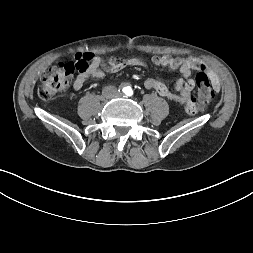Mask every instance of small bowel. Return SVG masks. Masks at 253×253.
Returning a JSON list of instances; mask_svg holds the SVG:
<instances>
[{
  "instance_id": "obj_1",
  "label": "small bowel",
  "mask_w": 253,
  "mask_h": 253,
  "mask_svg": "<svg viewBox=\"0 0 253 253\" xmlns=\"http://www.w3.org/2000/svg\"><path fill=\"white\" fill-rule=\"evenodd\" d=\"M78 56L79 55H77V57ZM152 62L157 66L179 70L181 76L176 80L174 85L176 92H172L168 86L158 78H148L144 82L145 88L156 92L163 98L184 103L186 115H196V113L201 110L202 103L198 99V95L192 92L195 88V83L193 80L189 79V77L192 70L203 69L201 63L195 58H174L167 55L154 56ZM137 66L145 67L146 63L139 57H129L126 59L111 58L109 61L105 62L100 56L93 55L88 70L76 77L73 88L75 90H81L89 78L101 79L105 76L106 72L116 73L125 67ZM214 88H219V84L216 80L214 81Z\"/></svg>"
}]
</instances>
